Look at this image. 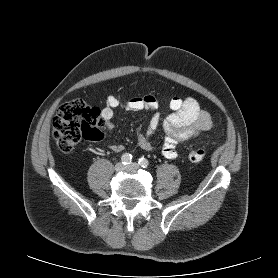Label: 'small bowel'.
I'll return each mask as SVG.
<instances>
[{
  "label": "small bowel",
  "instance_id": "obj_1",
  "mask_svg": "<svg viewBox=\"0 0 278 278\" xmlns=\"http://www.w3.org/2000/svg\"><path fill=\"white\" fill-rule=\"evenodd\" d=\"M169 106L172 113L163 121H161L159 113L152 115L147 131L138 133V145L143 150L152 151L154 148L150 142V137L162 124L165 132L162 154L168 159H174L178 156L177 145L180 142L210 130L213 127V121L210 113L203 110L198 101L192 97H172ZM118 108L126 111L156 110L158 100L152 94L133 97L125 103L114 96L108 97L105 107L101 111L107 130L113 128L112 120L114 112ZM109 148L114 152L124 150V146L121 144H109Z\"/></svg>",
  "mask_w": 278,
  "mask_h": 278
}]
</instances>
